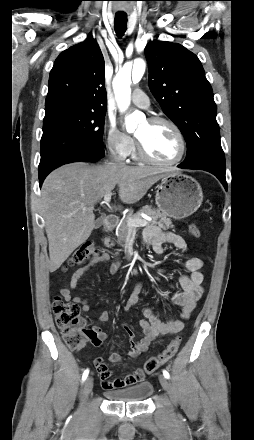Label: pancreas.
<instances>
[{
  "label": "pancreas",
  "instance_id": "obj_1",
  "mask_svg": "<svg viewBox=\"0 0 254 440\" xmlns=\"http://www.w3.org/2000/svg\"><path fill=\"white\" fill-rule=\"evenodd\" d=\"M144 213L152 218V220L147 221L148 224L158 225L161 229L167 230L170 228H173L171 219L168 218L165 214L161 213L160 210L152 208L151 206H144L142 207L138 212L135 214L129 215L130 218L133 219H143L141 214ZM121 219L118 228L116 229V236L118 243L125 242L126 239L129 237V233L131 231L132 233H136L137 229L136 227H131L127 224V219ZM109 237H106L104 239V244L107 247H111L114 245L113 242H111Z\"/></svg>",
  "mask_w": 254,
  "mask_h": 440
}]
</instances>
